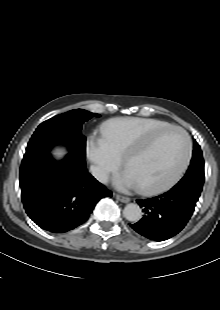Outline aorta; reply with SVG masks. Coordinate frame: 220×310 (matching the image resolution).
Returning a JSON list of instances; mask_svg holds the SVG:
<instances>
[{"label": "aorta", "mask_w": 220, "mask_h": 310, "mask_svg": "<svg viewBox=\"0 0 220 310\" xmlns=\"http://www.w3.org/2000/svg\"><path fill=\"white\" fill-rule=\"evenodd\" d=\"M123 214L131 222H136L141 218V208L138 204L129 203L125 206Z\"/></svg>", "instance_id": "1"}]
</instances>
